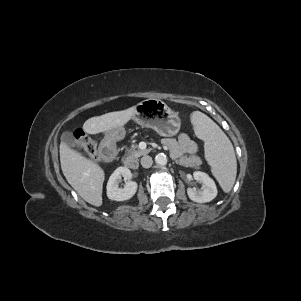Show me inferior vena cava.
I'll return each mask as SVG.
<instances>
[{
  "mask_svg": "<svg viewBox=\"0 0 301 301\" xmlns=\"http://www.w3.org/2000/svg\"><path fill=\"white\" fill-rule=\"evenodd\" d=\"M153 164V160L150 156H144L141 158V165L144 168H150Z\"/></svg>",
  "mask_w": 301,
  "mask_h": 301,
  "instance_id": "1",
  "label": "inferior vena cava"
}]
</instances>
